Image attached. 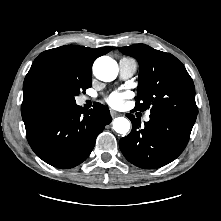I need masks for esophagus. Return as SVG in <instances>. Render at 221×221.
Returning <instances> with one entry per match:
<instances>
[{"label":"esophagus","mask_w":221,"mask_h":221,"mask_svg":"<svg viewBox=\"0 0 221 221\" xmlns=\"http://www.w3.org/2000/svg\"><path fill=\"white\" fill-rule=\"evenodd\" d=\"M110 113H111V116H112V117H116V116L120 115L118 112L113 111V110H111Z\"/></svg>","instance_id":"34e87169"}]
</instances>
